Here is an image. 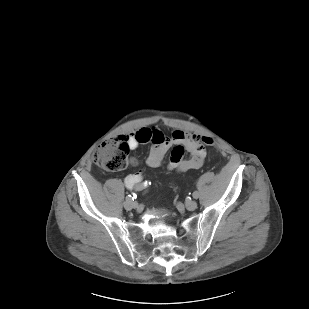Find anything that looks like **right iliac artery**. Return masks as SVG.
<instances>
[{"label": "right iliac artery", "instance_id": "right-iliac-artery-1", "mask_svg": "<svg viewBox=\"0 0 309 309\" xmlns=\"http://www.w3.org/2000/svg\"><path fill=\"white\" fill-rule=\"evenodd\" d=\"M148 184H150V183H148ZM144 188H148V187H147V186H144ZM141 193H142V191H141ZM125 198H126V200L129 201V200H131L132 197H131V195L128 194V195H126Z\"/></svg>", "mask_w": 309, "mask_h": 309}]
</instances>
